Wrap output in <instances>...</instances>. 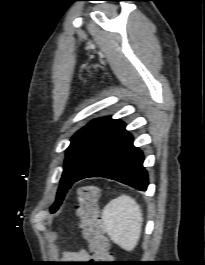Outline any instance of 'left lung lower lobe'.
Masks as SVG:
<instances>
[{
	"instance_id": "left-lung-lower-lobe-1",
	"label": "left lung lower lobe",
	"mask_w": 205,
	"mask_h": 265,
	"mask_svg": "<svg viewBox=\"0 0 205 265\" xmlns=\"http://www.w3.org/2000/svg\"><path fill=\"white\" fill-rule=\"evenodd\" d=\"M143 161L142 151L133 145L132 135L124 129L86 165L74 182L87 177H105L146 191L148 175Z\"/></svg>"
}]
</instances>
